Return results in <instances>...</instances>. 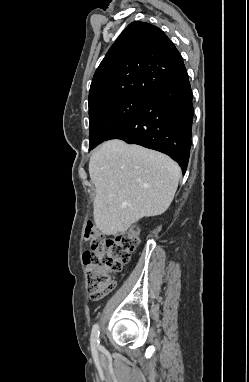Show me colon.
I'll return each instance as SVG.
<instances>
[{"instance_id":"colon-1","label":"colon","mask_w":249,"mask_h":382,"mask_svg":"<svg viewBox=\"0 0 249 382\" xmlns=\"http://www.w3.org/2000/svg\"><path fill=\"white\" fill-rule=\"evenodd\" d=\"M84 236L91 245L83 254L88 290L92 299L99 300L115 287L111 273H120L137 249L139 230L134 227L114 240H106L97 234L94 224L88 222Z\"/></svg>"}]
</instances>
